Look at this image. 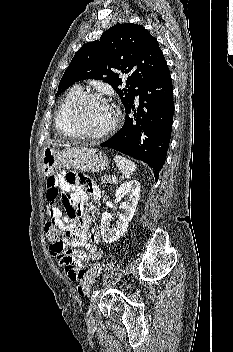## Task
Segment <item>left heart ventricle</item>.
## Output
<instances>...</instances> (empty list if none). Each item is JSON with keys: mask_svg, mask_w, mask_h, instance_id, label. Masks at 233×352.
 Here are the masks:
<instances>
[{"mask_svg": "<svg viewBox=\"0 0 233 352\" xmlns=\"http://www.w3.org/2000/svg\"><path fill=\"white\" fill-rule=\"evenodd\" d=\"M113 116V109L109 103L99 99H90L79 107L76 124L81 131L100 132L110 125Z\"/></svg>", "mask_w": 233, "mask_h": 352, "instance_id": "left-heart-ventricle-1", "label": "left heart ventricle"}]
</instances>
